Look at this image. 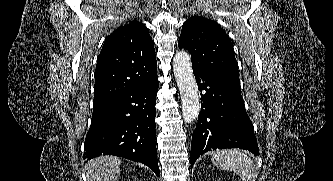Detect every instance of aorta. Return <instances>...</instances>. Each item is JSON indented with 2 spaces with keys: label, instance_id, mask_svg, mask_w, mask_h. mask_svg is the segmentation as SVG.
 Masks as SVG:
<instances>
[{
  "label": "aorta",
  "instance_id": "aorta-1",
  "mask_svg": "<svg viewBox=\"0 0 333 181\" xmlns=\"http://www.w3.org/2000/svg\"><path fill=\"white\" fill-rule=\"evenodd\" d=\"M173 70L181 95L183 119L186 123H192L199 115L200 104L191 58L186 51H179L175 54Z\"/></svg>",
  "mask_w": 333,
  "mask_h": 181
}]
</instances>
